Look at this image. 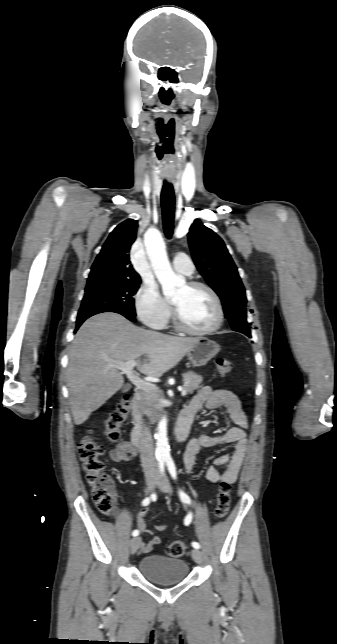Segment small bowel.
Masks as SVG:
<instances>
[{
  "label": "small bowel",
  "mask_w": 337,
  "mask_h": 644,
  "mask_svg": "<svg viewBox=\"0 0 337 644\" xmlns=\"http://www.w3.org/2000/svg\"><path fill=\"white\" fill-rule=\"evenodd\" d=\"M220 406H223L227 410L235 426L218 435L201 434L192 438L186 447L183 460L186 472L190 473L195 464L196 455L201 448L234 443V450L231 453L215 458L213 465L209 467L206 474L207 479L212 483L226 481L232 484L238 477L247 450L246 429L248 421L237 396L226 389L214 390L210 386H204L183 409L182 413L188 414L193 420L196 413L202 407H205L207 410H213ZM136 453L137 450L131 442L123 441L109 452V456L114 462H128L135 457ZM219 467H225V471L221 473L218 470ZM147 516L148 512L146 509H141L136 516L137 530L150 536L149 540L144 541L141 539L140 542V550L145 554L150 553L161 542L160 537L154 531L147 528ZM167 528L168 526L166 524H159L154 527V530L164 532Z\"/></svg>",
  "instance_id": "c3829d8e"
}]
</instances>
